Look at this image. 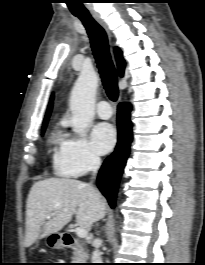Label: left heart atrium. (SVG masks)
I'll return each instance as SVG.
<instances>
[{
  "label": "left heart atrium",
  "instance_id": "obj_1",
  "mask_svg": "<svg viewBox=\"0 0 205 265\" xmlns=\"http://www.w3.org/2000/svg\"><path fill=\"white\" fill-rule=\"evenodd\" d=\"M92 143L95 151L99 154L109 152L116 143V132L109 123H99L92 131Z\"/></svg>",
  "mask_w": 205,
  "mask_h": 265
}]
</instances>
